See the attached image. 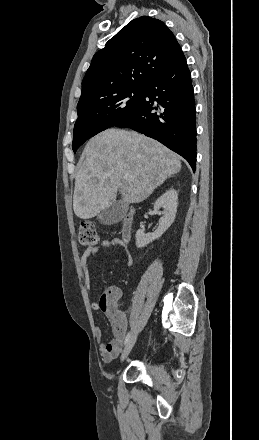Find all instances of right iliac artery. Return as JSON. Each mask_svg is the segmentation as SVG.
<instances>
[{
    "mask_svg": "<svg viewBox=\"0 0 259 440\" xmlns=\"http://www.w3.org/2000/svg\"><path fill=\"white\" fill-rule=\"evenodd\" d=\"M130 337H131V332H128V334H127L126 337H125V341H124V344H125V345L128 343Z\"/></svg>",
    "mask_w": 259,
    "mask_h": 440,
    "instance_id": "right-iliac-artery-1",
    "label": "right iliac artery"
}]
</instances>
